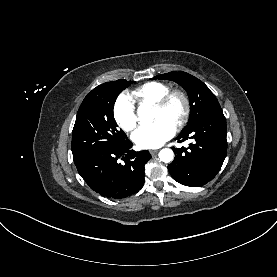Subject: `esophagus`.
<instances>
[{"instance_id": "34e87169", "label": "esophagus", "mask_w": 277, "mask_h": 277, "mask_svg": "<svg viewBox=\"0 0 277 277\" xmlns=\"http://www.w3.org/2000/svg\"><path fill=\"white\" fill-rule=\"evenodd\" d=\"M156 153H158V150H150V154H151V155H154V154H156Z\"/></svg>"}]
</instances>
